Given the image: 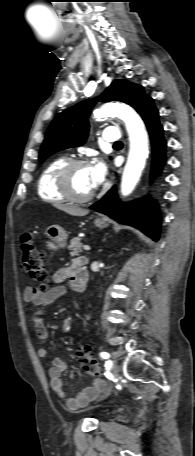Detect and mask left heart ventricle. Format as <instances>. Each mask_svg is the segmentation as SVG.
Segmentation results:
<instances>
[{
    "label": "left heart ventricle",
    "instance_id": "b2bd125f",
    "mask_svg": "<svg viewBox=\"0 0 195 456\" xmlns=\"http://www.w3.org/2000/svg\"><path fill=\"white\" fill-rule=\"evenodd\" d=\"M71 187L78 195H87L93 191L89 167H77L72 171Z\"/></svg>",
    "mask_w": 195,
    "mask_h": 456
}]
</instances>
